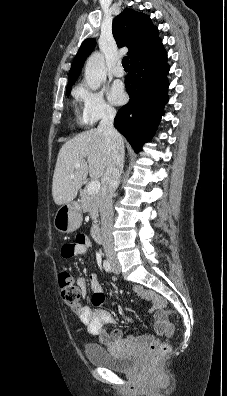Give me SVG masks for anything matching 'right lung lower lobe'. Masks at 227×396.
Here are the masks:
<instances>
[{
	"instance_id": "1",
	"label": "right lung lower lobe",
	"mask_w": 227,
	"mask_h": 396,
	"mask_svg": "<svg viewBox=\"0 0 227 396\" xmlns=\"http://www.w3.org/2000/svg\"><path fill=\"white\" fill-rule=\"evenodd\" d=\"M161 39L130 60V73L125 77L129 102L120 108L115 128L139 152L159 124L168 102L169 66Z\"/></svg>"
}]
</instances>
